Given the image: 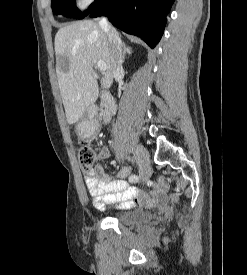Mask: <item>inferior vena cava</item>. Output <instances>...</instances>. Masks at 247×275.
I'll use <instances>...</instances> for the list:
<instances>
[{
	"mask_svg": "<svg viewBox=\"0 0 247 275\" xmlns=\"http://www.w3.org/2000/svg\"><path fill=\"white\" fill-rule=\"evenodd\" d=\"M99 25L107 33V36H108L110 52H111L112 74H113V77H116L123 72V67H122L123 44L121 42V39L119 38L118 33L109 26L108 21L105 17H103L99 21Z\"/></svg>",
	"mask_w": 247,
	"mask_h": 275,
	"instance_id": "1",
	"label": "inferior vena cava"
}]
</instances>
